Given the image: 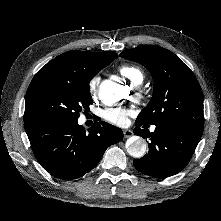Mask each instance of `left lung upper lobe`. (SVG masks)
<instances>
[{"instance_id": "left-lung-upper-lobe-1", "label": "left lung upper lobe", "mask_w": 221, "mask_h": 221, "mask_svg": "<svg viewBox=\"0 0 221 221\" xmlns=\"http://www.w3.org/2000/svg\"><path fill=\"white\" fill-rule=\"evenodd\" d=\"M120 57L144 65L154 80L153 95L136 123L174 125L203 132V94L193 72L171 51L139 46Z\"/></svg>"}]
</instances>
